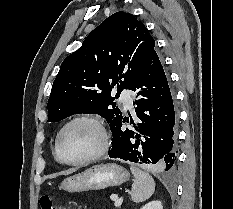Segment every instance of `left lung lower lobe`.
Segmentation results:
<instances>
[{"label":"left lung lower lobe","mask_w":233,"mask_h":209,"mask_svg":"<svg viewBox=\"0 0 233 209\" xmlns=\"http://www.w3.org/2000/svg\"><path fill=\"white\" fill-rule=\"evenodd\" d=\"M136 92L137 123L130 116L132 128L123 129L129 118L114 122L111 158L145 164L163 171L174 169L176 162V115L173 97L163 66L156 52L144 63L130 83Z\"/></svg>","instance_id":"obj_1"}]
</instances>
